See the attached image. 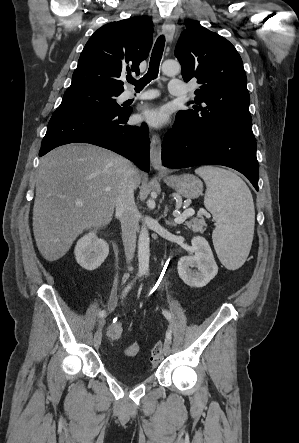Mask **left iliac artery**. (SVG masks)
I'll return each mask as SVG.
<instances>
[{
	"label": "left iliac artery",
	"mask_w": 299,
	"mask_h": 443,
	"mask_svg": "<svg viewBox=\"0 0 299 443\" xmlns=\"http://www.w3.org/2000/svg\"><path fill=\"white\" fill-rule=\"evenodd\" d=\"M162 313H163V315H164L169 321H171L172 316H171V314H170L169 311H167V310H163ZM171 333H172V331H171V328H170V329L167 331V333H166V340H167L168 342H171Z\"/></svg>",
	"instance_id": "left-iliac-artery-1"
}]
</instances>
